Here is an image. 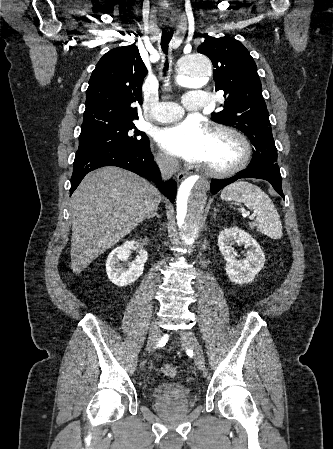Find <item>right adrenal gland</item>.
<instances>
[{
	"label": "right adrenal gland",
	"instance_id": "2a0ac1e0",
	"mask_svg": "<svg viewBox=\"0 0 333 449\" xmlns=\"http://www.w3.org/2000/svg\"><path fill=\"white\" fill-rule=\"evenodd\" d=\"M157 211H158V209L155 210L154 213L151 214L147 219H151V218H153V217H155V216H156L157 218H160V216L158 215Z\"/></svg>",
	"mask_w": 333,
	"mask_h": 449
}]
</instances>
